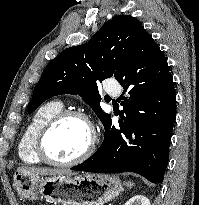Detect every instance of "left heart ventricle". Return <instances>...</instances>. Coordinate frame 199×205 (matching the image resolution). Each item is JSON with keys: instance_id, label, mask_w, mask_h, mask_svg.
<instances>
[{"instance_id": "obj_1", "label": "left heart ventricle", "mask_w": 199, "mask_h": 205, "mask_svg": "<svg viewBox=\"0 0 199 205\" xmlns=\"http://www.w3.org/2000/svg\"><path fill=\"white\" fill-rule=\"evenodd\" d=\"M89 142L86 124L77 118L61 121L46 139L48 154L57 160H69L81 154Z\"/></svg>"}]
</instances>
